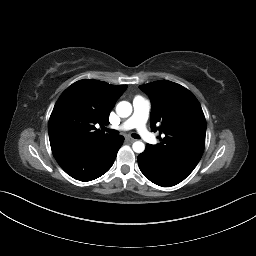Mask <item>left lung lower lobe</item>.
<instances>
[{"mask_svg":"<svg viewBox=\"0 0 256 256\" xmlns=\"http://www.w3.org/2000/svg\"><path fill=\"white\" fill-rule=\"evenodd\" d=\"M138 165L144 176L151 182L170 187L183 181L191 171L174 166L172 163L154 154L152 145L147 144L146 149L138 157Z\"/></svg>","mask_w":256,"mask_h":256,"instance_id":"0a47b994","label":"left lung lower lobe"}]
</instances>
